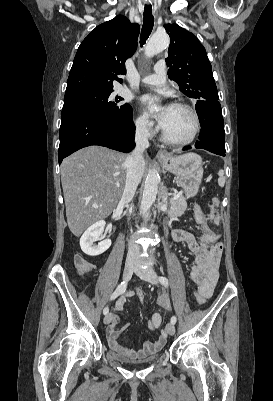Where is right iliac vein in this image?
Returning <instances> with one entry per match:
<instances>
[{
	"instance_id": "1",
	"label": "right iliac vein",
	"mask_w": 273,
	"mask_h": 401,
	"mask_svg": "<svg viewBox=\"0 0 273 401\" xmlns=\"http://www.w3.org/2000/svg\"><path fill=\"white\" fill-rule=\"evenodd\" d=\"M135 269H136L135 265L133 264L127 265L124 269L123 280L126 282L129 281ZM112 318H113L112 312L108 313L104 318V324H109L112 321Z\"/></svg>"
}]
</instances>
